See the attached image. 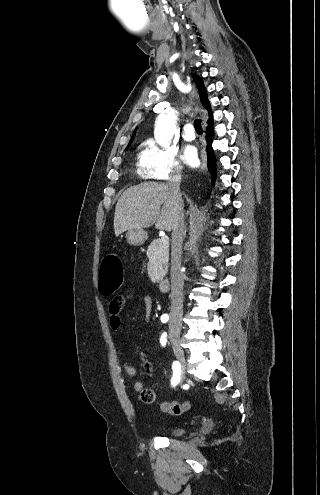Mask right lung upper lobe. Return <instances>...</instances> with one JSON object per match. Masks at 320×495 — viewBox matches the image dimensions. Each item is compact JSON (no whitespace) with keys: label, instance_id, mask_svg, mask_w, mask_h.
Returning <instances> with one entry per match:
<instances>
[{"label":"right lung upper lobe","instance_id":"right-lung-upper-lobe-1","mask_svg":"<svg viewBox=\"0 0 320 495\" xmlns=\"http://www.w3.org/2000/svg\"><path fill=\"white\" fill-rule=\"evenodd\" d=\"M192 77H193V80H194V82L196 83V85L198 87V91H199V95H200V100H201L204 108L209 113V119H208L207 123H212L213 122V115H212V112H211L210 102L208 101L207 90H206V88L204 86V82H203L202 78L200 76H198L197 74H193ZM134 137H135V132L132 135V138H131V140L129 142V145L132 143Z\"/></svg>","mask_w":320,"mask_h":495}]
</instances>
